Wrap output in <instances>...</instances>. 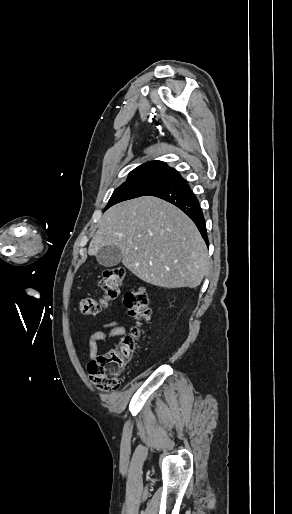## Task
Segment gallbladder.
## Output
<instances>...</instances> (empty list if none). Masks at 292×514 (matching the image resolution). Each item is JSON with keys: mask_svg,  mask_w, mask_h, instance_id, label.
<instances>
[{"mask_svg": "<svg viewBox=\"0 0 292 514\" xmlns=\"http://www.w3.org/2000/svg\"><path fill=\"white\" fill-rule=\"evenodd\" d=\"M96 260L101 266H105V268L117 266L122 260L121 250L118 246H114V244H111V246H103V248L98 250Z\"/></svg>", "mask_w": 292, "mask_h": 514, "instance_id": "bac80fb5", "label": "gallbladder"}]
</instances>
